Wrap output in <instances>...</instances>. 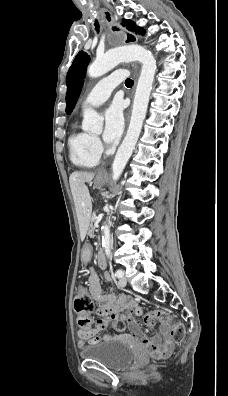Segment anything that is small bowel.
<instances>
[{"label": "small bowel", "instance_id": "1", "mask_svg": "<svg viewBox=\"0 0 228 396\" xmlns=\"http://www.w3.org/2000/svg\"><path fill=\"white\" fill-rule=\"evenodd\" d=\"M100 255L103 256V254H99V256ZM82 259L84 263H88L90 260V254L88 252L84 253ZM104 280L107 284L111 283V276L108 273H105ZM88 288L90 295L97 303L96 312L100 318L95 327L89 326L78 331V346L80 348H83L86 344H95L112 339H128L132 337L142 343L147 351L155 358H165L171 354L174 345L166 337V331H163V340L159 336H154L152 339H148L132 316L141 315L143 312L142 308L134 300L125 295L117 296L114 293L103 294L99 277L92 268H90L88 277ZM123 310L127 311V313L120 314ZM116 320H120L125 323L129 328L130 335L105 334L101 336L99 334Z\"/></svg>", "mask_w": 228, "mask_h": 396}]
</instances>
